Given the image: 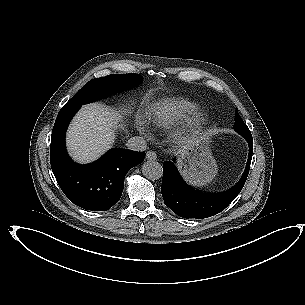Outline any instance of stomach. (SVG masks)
Listing matches in <instances>:
<instances>
[{
	"label": "stomach",
	"mask_w": 305,
	"mask_h": 305,
	"mask_svg": "<svg viewBox=\"0 0 305 305\" xmlns=\"http://www.w3.org/2000/svg\"><path fill=\"white\" fill-rule=\"evenodd\" d=\"M212 143L211 134L199 133L190 147L177 156V168L183 179L192 186H207L218 173V166L212 154Z\"/></svg>",
	"instance_id": "obj_1"
}]
</instances>
